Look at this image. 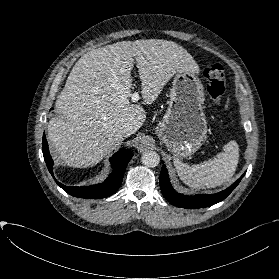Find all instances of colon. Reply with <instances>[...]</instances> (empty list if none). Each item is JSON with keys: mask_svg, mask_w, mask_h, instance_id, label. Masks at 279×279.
Here are the masks:
<instances>
[{"mask_svg": "<svg viewBox=\"0 0 279 279\" xmlns=\"http://www.w3.org/2000/svg\"><path fill=\"white\" fill-rule=\"evenodd\" d=\"M207 91L214 104L220 103L225 92V71L221 64L211 63L204 70Z\"/></svg>", "mask_w": 279, "mask_h": 279, "instance_id": "obj_1", "label": "colon"}]
</instances>
